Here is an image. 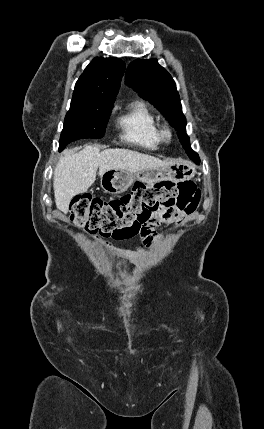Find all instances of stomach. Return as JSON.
Masks as SVG:
<instances>
[{
	"label": "stomach",
	"instance_id": "1",
	"mask_svg": "<svg viewBox=\"0 0 264 429\" xmlns=\"http://www.w3.org/2000/svg\"><path fill=\"white\" fill-rule=\"evenodd\" d=\"M195 166L184 160L174 161L164 168H149L137 174L125 170H108L101 175L100 185L104 192L119 195L134 182L154 184L162 181H185L194 178Z\"/></svg>",
	"mask_w": 264,
	"mask_h": 429
}]
</instances>
